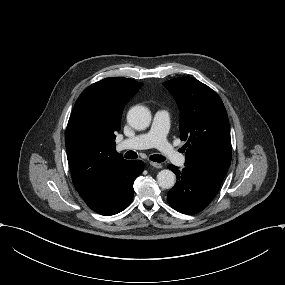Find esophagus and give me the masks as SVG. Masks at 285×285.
Segmentation results:
<instances>
[{
  "label": "esophagus",
  "mask_w": 285,
  "mask_h": 285,
  "mask_svg": "<svg viewBox=\"0 0 285 285\" xmlns=\"http://www.w3.org/2000/svg\"><path fill=\"white\" fill-rule=\"evenodd\" d=\"M150 165H151L152 167L157 168V169H161V168L163 167L162 164L156 163V162H153V161L150 162Z\"/></svg>",
  "instance_id": "34e87169"
}]
</instances>
